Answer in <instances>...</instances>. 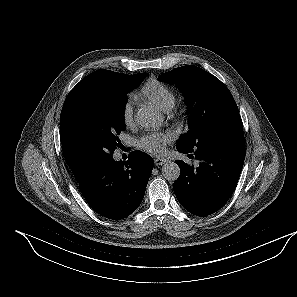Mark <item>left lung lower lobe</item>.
<instances>
[{
  "instance_id": "1",
  "label": "left lung lower lobe",
  "mask_w": 297,
  "mask_h": 297,
  "mask_svg": "<svg viewBox=\"0 0 297 297\" xmlns=\"http://www.w3.org/2000/svg\"><path fill=\"white\" fill-rule=\"evenodd\" d=\"M177 150L184 154L193 152L201 161L197 168L176 161L180 176L173 189L179 203L197 216L215 213L229 200L237 185L245 159L243 130L229 132L192 151L179 147Z\"/></svg>"
}]
</instances>
